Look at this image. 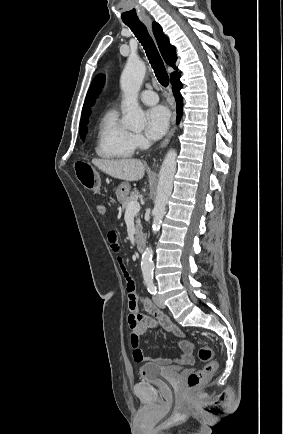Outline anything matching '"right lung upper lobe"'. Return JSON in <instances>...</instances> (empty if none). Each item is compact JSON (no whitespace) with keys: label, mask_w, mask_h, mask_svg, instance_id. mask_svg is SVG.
<instances>
[{"label":"right lung upper lobe","mask_w":283,"mask_h":434,"mask_svg":"<svg viewBox=\"0 0 283 434\" xmlns=\"http://www.w3.org/2000/svg\"><path fill=\"white\" fill-rule=\"evenodd\" d=\"M153 33L165 62L171 67H173L174 69H177L175 67V62L177 60L176 49L174 46H172L169 43L168 37L163 33L161 26L156 22H153ZM176 74H178V72L171 73L170 78ZM103 81H104L103 76H97L93 80V83L87 93L85 103L82 109V118L80 124L88 123V116L90 115L91 112L90 105L94 103L93 97H96L97 94L99 93L103 85Z\"/></svg>","instance_id":"right-lung-upper-lobe-1"}]
</instances>
